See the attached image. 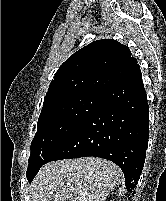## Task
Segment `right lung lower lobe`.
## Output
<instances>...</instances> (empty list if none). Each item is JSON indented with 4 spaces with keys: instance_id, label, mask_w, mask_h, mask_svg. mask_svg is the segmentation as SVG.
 I'll return each mask as SVG.
<instances>
[{
    "instance_id": "1",
    "label": "right lung lower lobe",
    "mask_w": 166,
    "mask_h": 201,
    "mask_svg": "<svg viewBox=\"0 0 166 201\" xmlns=\"http://www.w3.org/2000/svg\"><path fill=\"white\" fill-rule=\"evenodd\" d=\"M148 137L149 107L137 65L103 96L95 110L56 147L46 163L86 156L110 160L121 168L125 186L134 194L145 162Z\"/></svg>"
}]
</instances>
